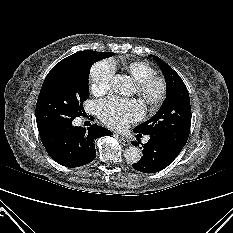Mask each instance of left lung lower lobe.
<instances>
[{"instance_id":"0a47b994","label":"left lung lower lobe","mask_w":233,"mask_h":233,"mask_svg":"<svg viewBox=\"0 0 233 233\" xmlns=\"http://www.w3.org/2000/svg\"><path fill=\"white\" fill-rule=\"evenodd\" d=\"M133 145H139L138 142H131ZM143 156L135 164L133 168L144 173H154L163 170L180 153V149L173 147L160 137L150 135V139L146 144H142Z\"/></svg>"}]
</instances>
